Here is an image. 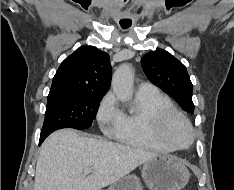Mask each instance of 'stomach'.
I'll return each instance as SVG.
<instances>
[{"label": "stomach", "mask_w": 234, "mask_h": 190, "mask_svg": "<svg viewBox=\"0 0 234 190\" xmlns=\"http://www.w3.org/2000/svg\"><path fill=\"white\" fill-rule=\"evenodd\" d=\"M190 178L185 165L176 157L158 155L143 164L142 179L150 190H181ZM108 190H142L135 175H127L110 185Z\"/></svg>", "instance_id": "obj_1"}]
</instances>
